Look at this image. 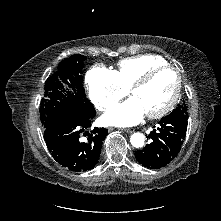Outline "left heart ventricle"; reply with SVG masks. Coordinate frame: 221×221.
<instances>
[{
	"mask_svg": "<svg viewBox=\"0 0 221 221\" xmlns=\"http://www.w3.org/2000/svg\"><path fill=\"white\" fill-rule=\"evenodd\" d=\"M177 84V77L172 70L157 73L148 84L132 94L143 107L145 114L163 108L171 99Z\"/></svg>",
	"mask_w": 221,
	"mask_h": 221,
	"instance_id": "obj_1",
	"label": "left heart ventricle"
}]
</instances>
